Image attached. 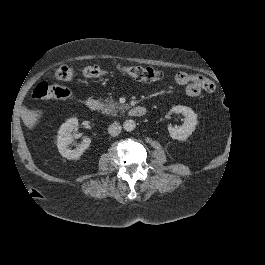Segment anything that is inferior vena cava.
<instances>
[{
  "mask_svg": "<svg viewBox=\"0 0 265 265\" xmlns=\"http://www.w3.org/2000/svg\"><path fill=\"white\" fill-rule=\"evenodd\" d=\"M120 131H121V126L117 122L110 124L108 127V133L111 136H117L120 133Z\"/></svg>",
  "mask_w": 265,
  "mask_h": 265,
  "instance_id": "602c4592",
  "label": "inferior vena cava"
}]
</instances>
